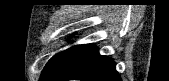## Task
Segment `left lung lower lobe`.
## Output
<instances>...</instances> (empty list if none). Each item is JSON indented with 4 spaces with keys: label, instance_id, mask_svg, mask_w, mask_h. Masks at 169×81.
Listing matches in <instances>:
<instances>
[{
    "label": "left lung lower lobe",
    "instance_id": "left-lung-lower-lobe-1",
    "mask_svg": "<svg viewBox=\"0 0 169 81\" xmlns=\"http://www.w3.org/2000/svg\"><path fill=\"white\" fill-rule=\"evenodd\" d=\"M121 81L111 58L101 56L92 44L76 45L65 51L40 81Z\"/></svg>",
    "mask_w": 169,
    "mask_h": 81
}]
</instances>
